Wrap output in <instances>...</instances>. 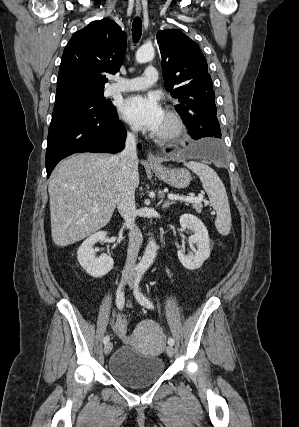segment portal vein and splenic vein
Segmentation results:
<instances>
[{
	"mask_svg": "<svg viewBox=\"0 0 299 427\" xmlns=\"http://www.w3.org/2000/svg\"><path fill=\"white\" fill-rule=\"evenodd\" d=\"M168 199H170V200H183L185 202H201L203 200V196L198 195V197H194V196H177L174 194H169ZM213 214H214V212H213Z\"/></svg>",
	"mask_w": 299,
	"mask_h": 427,
	"instance_id": "18ae733b",
	"label": "portal vein and splenic vein"
}]
</instances>
